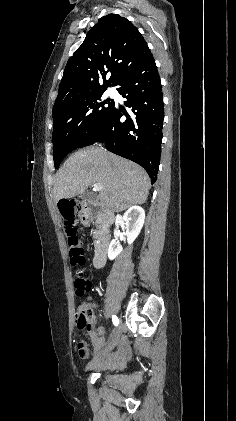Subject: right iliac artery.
I'll return each instance as SVG.
<instances>
[{
    "mask_svg": "<svg viewBox=\"0 0 236 421\" xmlns=\"http://www.w3.org/2000/svg\"><path fill=\"white\" fill-rule=\"evenodd\" d=\"M112 321L115 326H118L119 320L116 315H112Z\"/></svg>",
    "mask_w": 236,
    "mask_h": 421,
    "instance_id": "82829eb1",
    "label": "right iliac artery"
}]
</instances>
